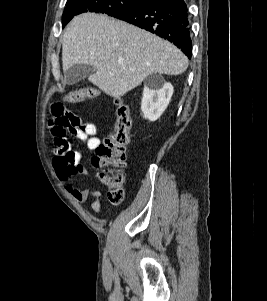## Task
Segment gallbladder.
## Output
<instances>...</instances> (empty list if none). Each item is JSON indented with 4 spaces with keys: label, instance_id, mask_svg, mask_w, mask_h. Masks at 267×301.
Segmentation results:
<instances>
[{
    "label": "gallbladder",
    "instance_id": "1",
    "mask_svg": "<svg viewBox=\"0 0 267 301\" xmlns=\"http://www.w3.org/2000/svg\"><path fill=\"white\" fill-rule=\"evenodd\" d=\"M95 71L96 69L91 65L75 64L68 70L64 71L62 79L66 85H74L94 74Z\"/></svg>",
    "mask_w": 267,
    "mask_h": 301
}]
</instances>
